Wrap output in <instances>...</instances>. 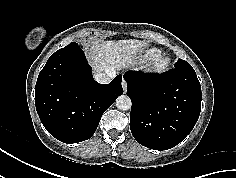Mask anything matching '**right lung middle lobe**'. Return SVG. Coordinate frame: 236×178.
<instances>
[{"label": "right lung middle lobe", "mask_w": 236, "mask_h": 178, "mask_svg": "<svg viewBox=\"0 0 236 178\" xmlns=\"http://www.w3.org/2000/svg\"><path fill=\"white\" fill-rule=\"evenodd\" d=\"M74 44H76L75 42H72V43H70L69 45H67L66 47H68V46H71V45H74ZM65 48V47H64Z\"/></svg>", "instance_id": "obj_1"}]
</instances>
